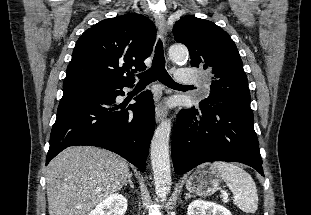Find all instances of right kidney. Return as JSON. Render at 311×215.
Returning <instances> with one entry per match:
<instances>
[{
	"label": "right kidney",
	"instance_id": "1",
	"mask_svg": "<svg viewBox=\"0 0 311 215\" xmlns=\"http://www.w3.org/2000/svg\"><path fill=\"white\" fill-rule=\"evenodd\" d=\"M127 207V199L114 193L102 200L89 215H124Z\"/></svg>",
	"mask_w": 311,
	"mask_h": 215
}]
</instances>
